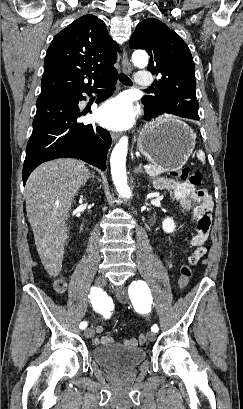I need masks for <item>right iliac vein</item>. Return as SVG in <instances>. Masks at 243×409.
Instances as JSON below:
<instances>
[{"instance_id":"right-iliac-vein-1","label":"right iliac vein","mask_w":243,"mask_h":409,"mask_svg":"<svg viewBox=\"0 0 243 409\" xmlns=\"http://www.w3.org/2000/svg\"><path fill=\"white\" fill-rule=\"evenodd\" d=\"M106 283H107V280H106V278H105L104 276H98V277L96 278V280H95V284H96V286L99 287V288H103V287L106 285ZM93 334H94V331H93V329H91V328H87V329L84 331V336H85L86 338H91V337L93 336Z\"/></svg>"}]
</instances>
